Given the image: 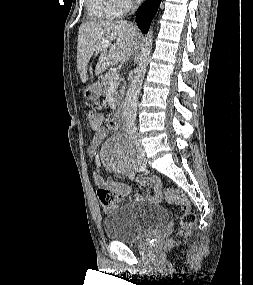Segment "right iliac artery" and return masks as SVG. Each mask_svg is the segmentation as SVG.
Wrapping results in <instances>:
<instances>
[{
  "label": "right iliac artery",
  "instance_id": "1",
  "mask_svg": "<svg viewBox=\"0 0 253 285\" xmlns=\"http://www.w3.org/2000/svg\"><path fill=\"white\" fill-rule=\"evenodd\" d=\"M137 168H136V166L133 168V170H131L130 172H129V179L130 180H133L134 179V177H135V170H136Z\"/></svg>",
  "mask_w": 253,
  "mask_h": 285
}]
</instances>
